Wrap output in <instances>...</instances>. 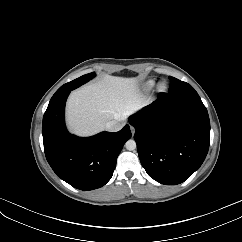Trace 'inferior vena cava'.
Masks as SVG:
<instances>
[{
    "mask_svg": "<svg viewBox=\"0 0 242 242\" xmlns=\"http://www.w3.org/2000/svg\"><path fill=\"white\" fill-rule=\"evenodd\" d=\"M124 121L125 120L123 118H121L119 120L109 121L108 123H106L105 128L107 131L117 132V131L121 130L122 127L124 126Z\"/></svg>",
    "mask_w": 242,
    "mask_h": 242,
    "instance_id": "obj_1",
    "label": "inferior vena cava"
}]
</instances>
